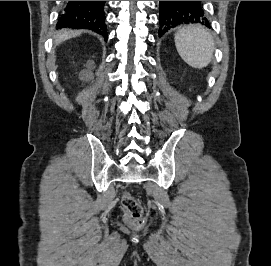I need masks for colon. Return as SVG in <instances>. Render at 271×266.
<instances>
[{
  "label": "colon",
  "mask_w": 271,
  "mask_h": 266,
  "mask_svg": "<svg viewBox=\"0 0 271 266\" xmlns=\"http://www.w3.org/2000/svg\"><path fill=\"white\" fill-rule=\"evenodd\" d=\"M121 203L129 225L137 229L141 228L144 224V210L142 205L129 192L123 193Z\"/></svg>",
  "instance_id": "5ec220e1"
}]
</instances>
